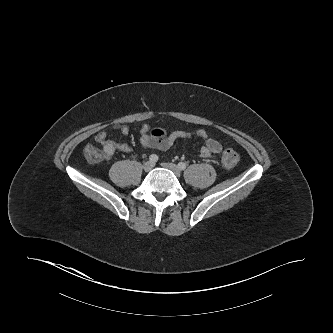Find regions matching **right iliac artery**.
<instances>
[{
  "instance_id": "right-iliac-artery-1",
  "label": "right iliac artery",
  "mask_w": 333,
  "mask_h": 333,
  "mask_svg": "<svg viewBox=\"0 0 333 333\" xmlns=\"http://www.w3.org/2000/svg\"><path fill=\"white\" fill-rule=\"evenodd\" d=\"M149 161L152 163H156L158 161V156L155 154H152L149 156Z\"/></svg>"
}]
</instances>
